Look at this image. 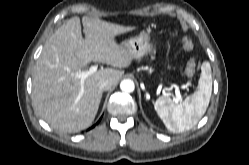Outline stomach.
<instances>
[{
    "label": "stomach",
    "mask_w": 249,
    "mask_h": 165,
    "mask_svg": "<svg viewBox=\"0 0 249 165\" xmlns=\"http://www.w3.org/2000/svg\"><path fill=\"white\" fill-rule=\"evenodd\" d=\"M151 29L147 28L140 32L138 36L124 41L121 46L124 47L135 58H141L145 54L152 52L154 46L151 42Z\"/></svg>",
    "instance_id": "obj_1"
}]
</instances>
